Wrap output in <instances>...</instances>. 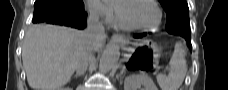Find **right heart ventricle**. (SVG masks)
Masks as SVG:
<instances>
[{"label": "right heart ventricle", "mask_w": 228, "mask_h": 90, "mask_svg": "<svg viewBox=\"0 0 228 90\" xmlns=\"http://www.w3.org/2000/svg\"><path fill=\"white\" fill-rule=\"evenodd\" d=\"M120 2H121V1H115V2H114V3H115V6L117 7V5H118ZM111 23H112V25H113L114 27H116V28H124V27L122 26V24L120 23L118 17H115Z\"/></svg>", "instance_id": "1"}]
</instances>
